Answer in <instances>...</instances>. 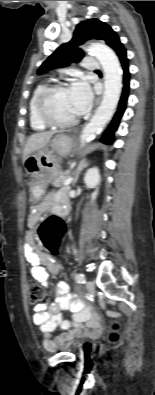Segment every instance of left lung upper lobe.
Segmentation results:
<instances>
[{
	"label": "left lung upper lobe",
	"instance_id": "left-lung-upper-lobe-1",
	"mask_svg": "<svg viewBox=\"0 0 155 395\" xmlns=\"http://www.w3.org/2000/svg\"><path fill=\"white\" fill-rule=\"evenodd\" d=\"M89 39L103 40L116 52L117 56L126 54V49L120 42L119 36L106 23L98 19H89L79 23L71 41L62 44L47 60L39 67L38 74H44L48 70L58 67H66L71 62H78L84 57V52L79 48Z\"/></svg>",
	"mask_w": 155,
	"mask_h": 395
}]
</instances>
